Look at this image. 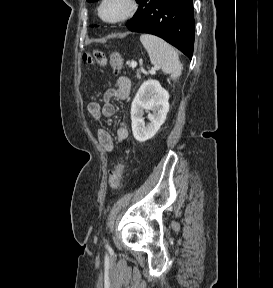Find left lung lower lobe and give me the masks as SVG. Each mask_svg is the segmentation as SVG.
Listing matches in <instances>:
<instances>
[{
  "label": "left lung lower lobe",
  "instance_id": "0a47b994",
  "mask_svg": "<svg viewBox=\"0 0 273 288\" xmlns=\"http://www.w3.org/2000/svg\"><path fill=\"white\" fill-rule=\"evenodd\" d=\"M139 8L126 26L132 32L163 38L192 58L194 13L192 0H137Z\"/></svg>",
  "mask_w": 273,
  "mask_h": 288
}]
</instances>
